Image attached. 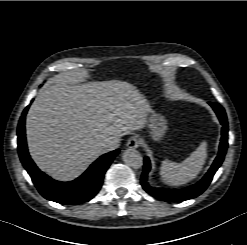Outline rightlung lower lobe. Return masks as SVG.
Masks as SVG:
<instances>
[{
	"instance_id": "obj_1",
	"label": "right lung lower lobe",
	"mask_w": 247,
	"mask_h": 245,
	"mask_svg": "<svg viewBox=\"0 0 247 245\" xmlns=\"http://www.w3.org/2000/svg\"><path fill=\"white\" fill-rule=\"evenodd\" d=\"M25 108L18 125V152L20 160L32 178L39 193L60 204L76 205L91 200L100 190L103 177L119 149L102 155L79 178L71 182H58L41 172L30 158L25 138Z\"/></svg>"
}]
</instances>
